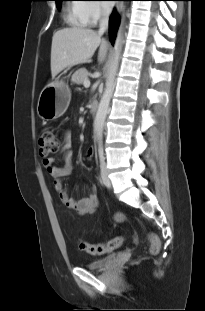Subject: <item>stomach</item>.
Wrapping results in <instances>:
<instances>
[{"label": "stomach", "instance_id": "stomach-1", "mask_svg": "<svg viewBox=\"0 0 205 311\" xmlns=\"http://www.w3.org/2000/svg\"><path fill=\"white\" fill-rule=\"evenodd\" d=\"M70 90L63 80L56 78L41 91L38 99L37 113L46 121L61 117L68 108Z\"/></svg>", "mask_w": 205, "mask_h": 311}]
</instances>
